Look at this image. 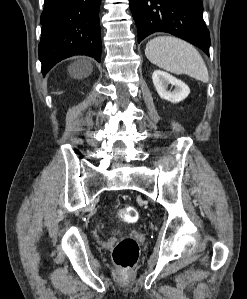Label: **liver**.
Listing matches in <instances>:
<instances>
[{"label":"liver","mask_w":247,"mask_h":299,"mask_svg":"<svg viewBox=\"0 0 247 299\" xmlns=\"http://www.w3.org/2000/svg\"><path fill=\"white\" fill-rule=\"evenodd\" d=\"M92 64L89 60L83 58L69 67V73L75 78L88 76L92 72Z\"/></svg>","instance_id":"1"}]
</instances>
